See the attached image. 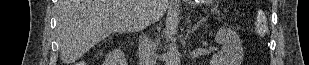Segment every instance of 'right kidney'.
Wrapping results in <instances>:
<instances>
[{"label": "right kidney", "mask_w": 309, "mask_h": 65, "mask_svg": "<svg viewBox=\"0 0 309 65\" xmlns=\"http://www.w3.org/2000/svg\"><path fill=\"white\" fill-rule=\"evenodd\" d=\"M106 65H126V59L124 53L120 48L114 49L109 53L108 58L105 61Z\"/></svg>", "instance_id": "1"}]
</instances>
